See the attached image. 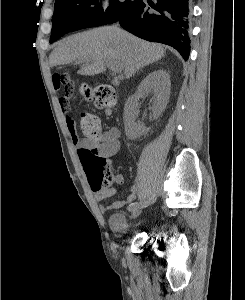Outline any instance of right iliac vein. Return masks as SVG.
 Instances as JSON below:
<instances>
[{
  "instance_id": "1",
  "label": "right iliac vein",
  "mask_w": 245,
  "mask_h": 300,
  "mask_svg": "<svg viewBox=\"0 0 245 300\" xmlns=\"http://www.w3.org/2000/svg\"><path fill=\"white\" fill-rule=\"evenodd\" d=\"M155 198L152 197L150 198L149 200L147 201H144V202H140L133 210H132V213H131V218L132 219H135L137 218L141 212H142V209L147 207L148 205L152 204L154 202Z\"/></svg>"
}]
</instances>
